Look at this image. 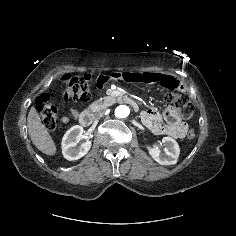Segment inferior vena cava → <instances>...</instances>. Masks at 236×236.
<instances>
[{"instance_id":"inferior-vena-cava-1","label":"inferior vena cava","mask_w":236,"mask_h":236,"mask_svg":"<svg viewBox=\"0 0 236 236\" xmlns=\"http://www.w3.org/2000/svg\"><path fill=\"white\" fill-rule=\"evenodd\" d=\"M102 116H103V112H99V113H97V114L95 115L94 119H95V120H98V119H100Z\"/></svg>"}]
</instances>
